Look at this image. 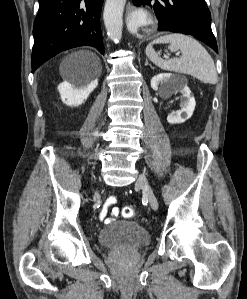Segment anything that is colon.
I'll return each mask as SVG.
<instances>
[{"label": "colon", "instance_id": "colon-1", "mask_svg": "<svg viewBox=\"0 0 247 299\" xmlns=\"http://www.w3.org/2000/svg\"><path fill=\"white\" fill-rule=\"evenodd\" d=\"M122 215L125 218H132L135 216V209L132 206H125L122 209Z\"/></svg>", "mask_w": 247, "mask_h": 299}]
</instances>
